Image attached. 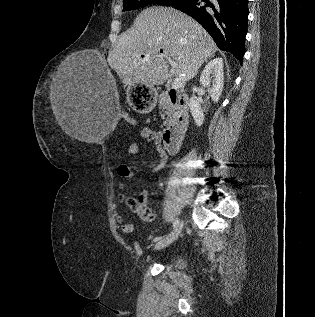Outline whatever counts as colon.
<instances>
[{
    "label": "colon",
    "instance_id": "5ec220e1",
    "mask_svg": "<svg viewBox=\"0 0 315 317\" xmlns=\"http://www.w3.org/2000/svg\"><path fill=\"white\" fill-rule=\"evenodd\" d=\"M123 118L129 124H131L133 126L136 125L135 120L130 115L124 114ZM128 204H129L131 209L135 210L139 214L140 218L144 222H150L152 220L153 216H152L151 211L142 205L140 199L131 198L128 201Z\"/></svg>",
    "mask_w": 315,
    "mask_h": 317
}]
</instances>
